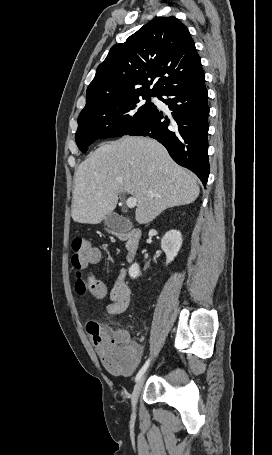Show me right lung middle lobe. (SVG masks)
<instances>
[{"mask_svg": "<svg viewBox=\"0 0 272 455\" xmlns=\"http://www.w3.org/2000/svg\"><path fill=\"white\" fill-rule=\"evenodd\" d=\"M156 94L126 97L80 113L76 143L82 152L95 140L127 135L157 108L151 103ZM146 100V101H144Z\"/></svg>", "mask_w": 272, "mask_h": 455, "instance_id": "1", "label": "right lung middle lobe"}]
</instances>
